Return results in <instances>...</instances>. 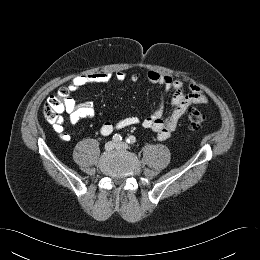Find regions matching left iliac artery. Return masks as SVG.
Here are the masks:
<instances>
[{
    "label": "left iliac artery",
    "instance_id": "44dca946",
    "mask_svg": "<svg viewBox=\"0 0 260 260\" xmlns=\"http://www.w3.org/2000/svg\"><path fill=\"white\" fill-rule=\"evenodd\" d=\"M126 142L128 144H134L136 142V138L134 136H129L127 139H126Z\"/></svg>",
    "mask_w": 260,
    "mask_h": 260
}]
</instances>
